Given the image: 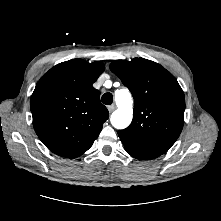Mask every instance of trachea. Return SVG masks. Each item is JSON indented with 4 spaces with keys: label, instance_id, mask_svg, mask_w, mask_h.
Returning <instances> with one entry per match:
<instances>
[{
    "label": "trachea",
    "instance_id": "3493384b",
    "mask_svg": "<svg viewBox=\"0 0 221 221\" xmlns=\"http://www.w3.org/2000/svg\"><path fill=\"white\" fill-rule=\"evenodd\" d=\"M101 100L105 105H111L113 102V96L111 93L108 92V93L103 94Z\"/></svg>",
    "mask_w": 221,
    "mask_h": 221
}]
</instances>
